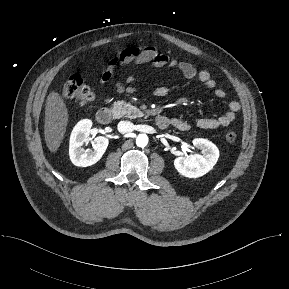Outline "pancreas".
Instances as JSON below:
<instances>
[{
    "label": "pancreas",
    "mask_w": 289,
    "mask_h": 289,
    "mask_svg": "<svg viewBox=\"0 0 289 289\" xmlns=\"http://www.w3.org/2000/svg\"><path fill=\"white\" fill-rule=\"evenodd\" d=\"M113 111L117 118L126 116L130 119L141 117L142 112L135 106L125 101H117L113 103Z\"/></svg>",
    "instance_id": "1"
}]
</instances>
